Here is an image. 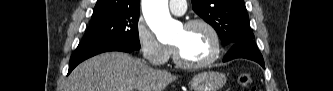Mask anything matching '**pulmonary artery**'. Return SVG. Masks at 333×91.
I'll return each instance as SVG.
<instances>
[{"mask_svg": "<svg viewBox=\"0 0 333 91\" xmlns=\"http://www.w3.org/2000/svg\"><path fill=\"white\" fill-rule=\"evenodd\" d=\"M169 9L175 15H183L186 11L185 1H170Z\"/></svg>", "mask_w": 333, "mask_h": 91, "instance_id": "1", "label": "pulmonary artery"}]
</instances>
